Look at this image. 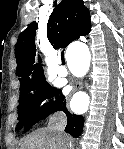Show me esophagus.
Masks as SVG:
<instances>
[{
  "instance_id": "esophagus-1",
  "label": "esophagus",
  "mask_w": 124,
  "mask_h": 149,
  "mask_svg": "<svg viewBox=\"0 0 124 149\" xmlns=\"http://www.w3.org/2000/svg\"><path fill=\"white\" fill-rule=\"evenodd\" d=\"M76 88H78V89L82 88V83L81 82L77 83Z\"/></svg>"
}]
</instances>
